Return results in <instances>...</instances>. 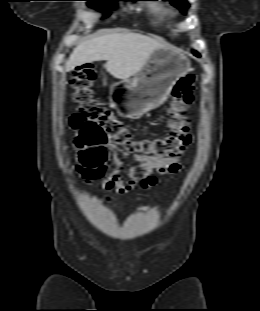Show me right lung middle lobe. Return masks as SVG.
Segmentation results:
<instances>
[{
  "label": "right lung middle lobe",
  "mask_w": 260,
  "mask_h": 311,
  "mask_svg": "<svg viewBox=\"0 0 260 311\" xmlns=\"http://www.w3.org/2000/svg\"><path fill=\"white\" fill-rule=\"evenodd\" d=\"M88 1V5L92 8L104 9V3H114L117 1H135V0H85ZM109 16V13H105L104 17Z\"/></svg>",
  "instance_id": "dd1d6c3e"
}]
</instances>
